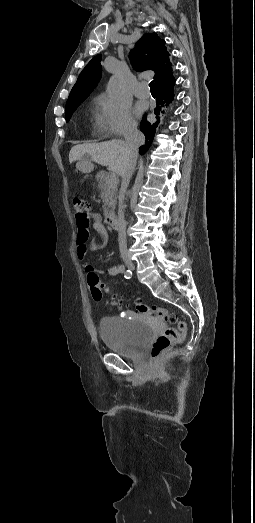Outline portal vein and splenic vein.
Masks as SVG:
<instances>
[{
  "mask_svg": "<svg viewBox=\"0 0 255 523\" xmlns=\"http://www.w3.org/2000/svg\"><path fill=\"white\" fill-rule=\"evenodd\" d=\"M109 173H110L111 175H114V174L116 173V170H115L114 168H111V169L109 170Z\"/></svg>",
  "mask_w": 255,
  "mask_h": 523,
  "instance_id": "18ae733b",
  "label": "portal vein and splenic vein"
}]
</instances>
